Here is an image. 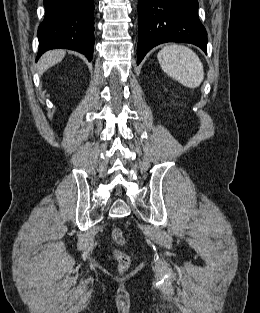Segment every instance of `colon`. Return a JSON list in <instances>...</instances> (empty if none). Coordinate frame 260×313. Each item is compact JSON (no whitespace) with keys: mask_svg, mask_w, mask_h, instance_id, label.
Listing matches in <instances>:
<instances>
[{"mask_svg":"<svg viewBox=\"0 0 260 313\" xmlns=\"http://www.w3.org/2000/svg\"><path fill=\"white\" fill-rule=\"evenodd\" d=\"M111 236L115 243L119 245L125 244V236L120 228L113 229ZM113 255L116 259L119 272L124 273L127 271L131 264L130 256L126 252L119 249L114 250Z\"/></svg>","mask_w":260,"mask_h":313,"instance_id":"5ec220e1","label":"colon"}]
</instances>
